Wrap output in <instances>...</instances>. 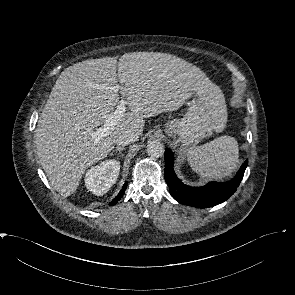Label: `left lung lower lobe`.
I'll list each match as a JSON object with an SVG mask.
<instances>
[{
	"label": "left lung lower lobe",
	"instance_id": "1",
	"mask_svg": "<svg viewBox=\"0 0 295 295\" xmlns=\"http://www.w3.org/2000/svg\"><path fill=\"white\" fill-rule=\"evenodd\" d=\"M165 181L170 189V194L178 202L196 208H208L226 201L239 186L248 160H246L236 176L228 182H209L202 187H190L183 184L173 170V153L166 149L165 155Z\"/></svg>",
	"mask_w": 295,
	"mask_h": 295
}]
</instances>
